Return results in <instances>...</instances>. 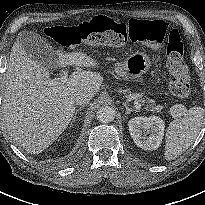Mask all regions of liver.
Listing matches in <instances>:
<instances>
[{
	"instance_id": "6515ba94",
	"label": "liver",
	"mask_w": 205,
	"mask_h": 205,
	"mask_svg": "<svg viewBox=\"0 0 205 205\" xmlns=\"http://www.w3.org/2000/svg\"><path fill=\"white\" fill-rule=\"evenodd\" d=\"M56 55V67H98L83 52L64 55L58 50ZM48 80L47 68L34 61L17 38L10 53L2 108L11 137L32 154L48 148L64 132L75 113V97L79 93L94 96L103 78L96 72L76 71L64 84L49 86Z\"/></svg>"
}]
</instances>
